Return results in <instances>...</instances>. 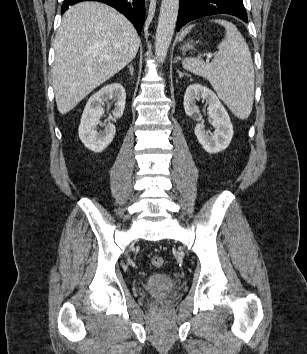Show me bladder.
Returning a JSON list of instances; mask_svg holds the SVG:
<instances>
[{
	"instance_id": "obj_1",
	"label": "bladder",
	"mask_w": 307,
	"mask_h": 354,
	"mask_svg": "<svg viewBox=\"0 0 307 354\" xmlns=\"http://www.w3.org/2000/svg\"><path fill=\"white\" fill-rule=\"evenodd\" d=\"M145 288L153 294H169L175 289V283L168 274L160 272L148 277Z\"/></svg>"
}]
</instances>
